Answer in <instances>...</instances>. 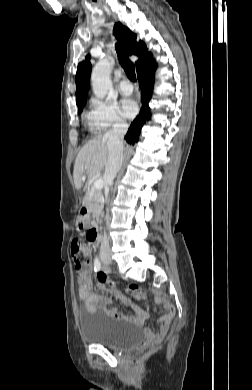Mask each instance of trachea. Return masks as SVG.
<instances>
[{
    "label": "trachea",
    "mask_w": 252,
    "mask_h": 390,
    "mask_svg": "<svg viewBox=\"0 0 252 390\" xmlns=\"http://www.w3.org/2000/svg\"><path fill=\"white\" fill-rule=\"evenodd\" d=\"M115 49L121 66L126 72L127 76L133 82L136 81L135 67L134 64L130 61L127 51L121 44H116Z\"/></svg>",
    "instance_id": "obj_1"
}]
</instances>
